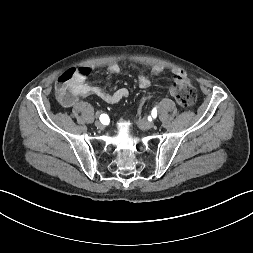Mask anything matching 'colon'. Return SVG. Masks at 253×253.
I'll return each instance as SVG.
<instances>
[{
	"label": "colon",
	"instance_id": "5ec220e1",
	"mask_svg": "<svg viewBox=\"0 0 253 253\" xmlns=\"http://www.w3.org/2000/svg\"><path fill=\"white\" fill-rule=\"evenodd\" d=\"M78 70H69L63 73L56 84V92L60 100L69 101L72 97L71 84L74 78L79 74ZM174 97L179 106L183 108L191 107L196 100V91L190 81L185 82L181 85L172 86ZM154 99L153 93H145L140 96L142 103L138 104V110L136 111L135 117L138 119L140 113L145 110V105L149 100Z\"/></svg>",
	"mask_w": 253,
	"mask_h": 253
}]
</instances>
